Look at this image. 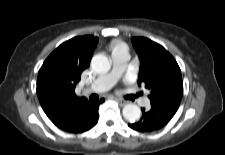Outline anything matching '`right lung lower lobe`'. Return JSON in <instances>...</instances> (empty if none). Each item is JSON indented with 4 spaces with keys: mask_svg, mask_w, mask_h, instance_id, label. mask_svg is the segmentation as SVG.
I'll return each instance as SVG.
<instances>
[{
    "mask_svg": "<svg viewBox=\"0 0 225 155\" xmlns=\"http://www.w3.org/2000/svg\"><path fill=\"white\" fill-rule=\"evenodd\" d=\"M104 102H88L64 114L60 122L54 123L58 128L71 133H82L91 129L98 122V107Z\"/></svg>",
    "mask_w": 225,
    "mask_h": 155,
    "instance_id": "1",
    "label": "right lung lower lobe"
}]
</instances>
